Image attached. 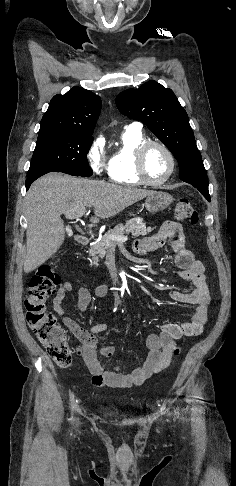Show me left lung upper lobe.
<instances>
[{
  "label": "left lung upper lobe",
  "mask_w": 236,
  "mask_h": 486,
  "mask_svg": "<svg viewBox=\"0 0 236 486\" xmlns=\"http://www.w3.org/2000/svg\"><path fill=\"white\" fill-rule=\"evenodd\" d=\"M116 105L122 114L143 122L166 145L179 163L180 179L210 201L207 174L194 133L173 91L149 81L138 89L121 92Z\"/></svg>",
  "instance_id": "1"
}]
</instances>
